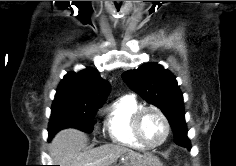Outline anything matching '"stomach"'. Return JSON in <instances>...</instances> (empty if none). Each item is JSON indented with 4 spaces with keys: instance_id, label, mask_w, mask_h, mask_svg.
I'll use <instances>...</instances> for the list:
<instances>
[{
    "instance_id": "stomach-1",
    "label": "stomach",
    "mask_w": 236,
    "mask_h": 166,
    "mask_svg": "<svg viewBox=\"0 0 236 166\" xmlns=\"http://www.w3.org/2000/svg\"><path fill=\"white\" fill-rule=\"evenodd\" d=\"M124 166H133V165H130V163H128V160H126V162H124ZM141 166H163V165L158 158L154 156H146L145 163Z\"/></svg>"
}]
</instances>
